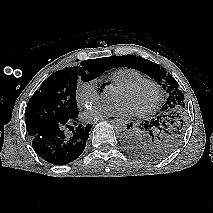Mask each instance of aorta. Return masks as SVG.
Here are the masks:
<instances>
[{"label":"aorta","instance_id":"762f6f07","mask_svg":"<svg viewBox=\"0 0 213 213\" xmlns=\"http://www.w3.org/2000/svg\"><path fill=\"white\" fill-rule=\"evenodd\" d=\"M105 101H110L113 98V87L106 86L101 94ZM127 121L124 118H115L112 122V127L116 132H122L127 129Z\"/></svg>","mask_w":213,"mask_h":213}]
</instances>
